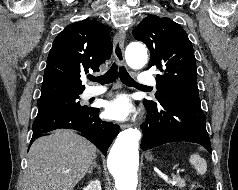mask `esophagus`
Returning a JSON list of instances; mask_svg holds the SVG:
<instances>
[{
	"mask_svg": "<svg viewBox=\"0 0 238 190\" xmlns=\"http://www.w3.org/2000/svg\"><path fill=\"white\" fill-rule=\"evenodd\" d=\"M126 33L123 30L117 31L115 37H114V48L113 53L116 62L119 66L125 65V59H124V42H125ZM129 127L128 124H121L120 128L125 129Z\"/></svg>",
	"mask_w": 238,
	"mask_h": 190,
	"instance_id": "1",
	"label": "esophagus"
}]
</instances>
